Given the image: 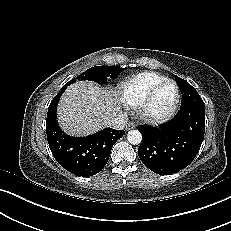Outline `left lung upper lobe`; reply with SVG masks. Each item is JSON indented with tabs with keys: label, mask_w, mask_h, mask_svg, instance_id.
Wrapping results in <instances>:
<instances>
[{
	"label": "left lung upper lobe",
	"mask_w": 231,
	"mask_h": 231,
	"mask_svg": "<svg viewBox=\"0 0 231 231\" xmlns=\"http://www.w3.org/2000/svg\"><path fill=\"white\" fill-rule=\"evenodd\" d=\"M175 80L182 94L181 106L204 103L198 92L187 81L175 75Z\"/></svg>",
	"instance_id": "5c2ea615"
}]
</instances>
